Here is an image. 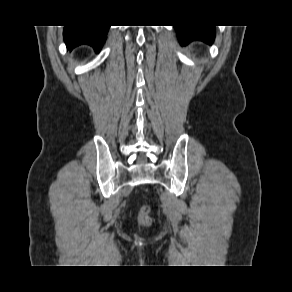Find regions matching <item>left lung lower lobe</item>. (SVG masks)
Listing matches in <instances>:
<instances>
[{"label": "left lung lower lobe", "mask_w": 292, "mask_h": 292, "mask_svg": "<svg viewBox=\"0 0 292 292\" xmlns=\"http://www.w3.org/2000/svg\"><path fill=\"white\" fill-rule=\"evenodd\" d=\"M174 27L182 45H186L193 40H201L211 44L215 37L214 26L178 25Z\"/></svg>", "instance_id": "0a47b994"}]
</instances>
